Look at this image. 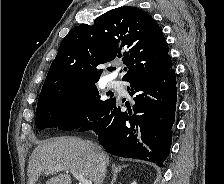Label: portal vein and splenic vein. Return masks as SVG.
Returning <instances> with one entry per match:
<instances>
[{"label":"portal vein and splenic vein","mask_w":224,"mask_h":184,"mask_svg":"<svg viewBox=\"0 0 224 184\" xmlns=\"http://www.w3.org/2000/svg\"><path fill=\"white\" fill-rule=\"evenodd\" d=\"M51 171L65 170L63 167H54L50 169ZM70 173L79 181V184H92L91 180L86 179L83 175L76 171L71 170Z\"/></svg>","instance_id":"1"}]
</instances>
